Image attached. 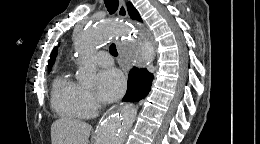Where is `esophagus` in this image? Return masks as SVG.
I'll use <instances>...</instances> for the list:
<instances>
[{
    "label": "esophagus",
    "mask_w": 260,
    "mask_h": 144,
    "mask_svg": "<svg viewBox=\"0 0 260 144\" xmlns=\"http://www.w3.org/2000/svg\"><path fill=\"white\" fill-rule=\"evenodd\" d=\"M118 16L120 19H127L128 18V12L126 8V4L124 0H119V8H118ZM124 70L128 68V65H123Z\"/></svg>",
    "instance_id": "obj_1"
}]
</instances>
